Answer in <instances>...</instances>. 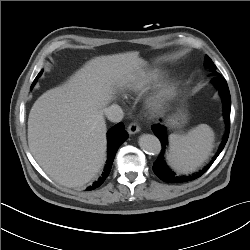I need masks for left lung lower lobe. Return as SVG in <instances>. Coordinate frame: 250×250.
Listing matches in <instances>:
<instances>
[{
    "label": "left lung lower lobe",
    "instance_id": "1",
    "mask_svg": "<svg viewBox=\"0 0 250 250\" xmlns=\"http://www.w3.org/2000/svg\"><path fill=\"white\" fill-rule=\"evenodd\" d=\"M211 82L217 87L222 97L223 113H224V119H225V124H226V132L219 146L218 152L216 153L212 161L199 172L191 176H177V174L166 165V162L164 160L165 151L168 146V139H167L165 127L162 126L161 124L153 125L152 130L154 134L159 138L161 145H162V150L158 158L153 164V171L161 180L165 182H187V181H191L200 177L209 169V167L212 165V163L215 161V159L223 150L228 140L229 131H230V109H231V98H230L229 88H228L226 80L220 76L214 77L211 80Z\"/></svg>",
    "mask_w": 250,
    "mask_h": 250
}]
</instances>
